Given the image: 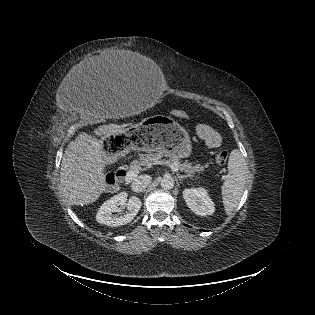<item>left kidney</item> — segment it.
Returning <instances> with one entry per match:
<instances>
[{"label":"left kidney","mask_w":315,"mask_h":315,"mask_svg":"<svg viewBox=\"0 0 315 315\" xmlns=\"http://www.w3.org/2000/svg\"><path fill=\"white\" fill-rule=\"evenodd\" d=\"M187 206L200 216L212 215L215 205L204 188H190L183 191Z\"/></svg>","instance_id":"1"}]
</instances>
